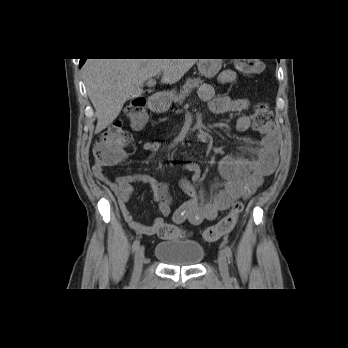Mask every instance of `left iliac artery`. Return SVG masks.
<instances>
[{"instance_id": "left-iliac-artery-1", "label": "left iliac artery", "mask_w": 348, "mask_h": 348, "mask_svg": "<svg viewBox=\"0 0 348 348\" xmlns=\"http://www.w3.org/2000/svg\"><path fill=\"white\" fill-rule=\"evenodd\" d=\"M224 252L229 260V262H232L233 260V254H232V250L229 246H225L224 247ZM234 282L236 283V279H234Z\"/></svg>"}]
</instances>
